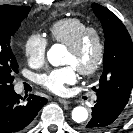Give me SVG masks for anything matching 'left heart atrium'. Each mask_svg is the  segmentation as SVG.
Wrapping results in <instances>:
<instances>
[{
    "mask_svg": "<svg viewBox=\"0 0 133 133\" xmlns=\"http://www.w3.org/2000/svg\"><path fill=\"white\" fill-rule=\"evenodd\" d=\"M77 80L76 68L68 65L54 69L38 77L39 83L46 89L56 94H63L68 85L74 84Z\"/></svg>",
    "mask_w": 133,
    "mask_h": 133,
    "instance_id": "left-heart-atrium-1",
    "label": "left heart atrium"
}]
</instances>
